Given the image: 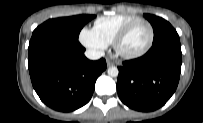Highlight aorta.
Instances as JSON below:
<instances>
[{
    "label": "aorta",
    "instance_id": "aorta-1",
    "mask_svg": "<svg viewBox=\"0 0 203 123\" xmlns=\"http://www.w3.org/2000/svg\"><path fill=\"white\" fill-rule=\"evenodd\" d=\"M107 72H108V75L111 77H117L119 74V70L115 66L109 67Z\"/></svg>",
    "mask_w": 203,
    "mask_h": 123
}]
</instances>
